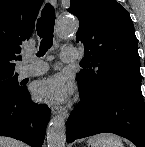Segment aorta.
<instances>
[{
    "label": "aorta",
    "instance_id": "obj_1",
    "mask_svg": "<svg viewBox=\"0 0 145 147\" xmlns=\"http://www.w3.org/2000/svg\"><path fill=\"white\" fill-rule=\"evenodd\" d=\"M78 24L74 19L61 18L57 22V35L60 38H66L74 33ZM66 126L65 117L62 113L53 117L47 128V145L48 147H65Z\"/></svg>",
    "mask_w": 145,
    "mask_h": 147
}]
</instances>
